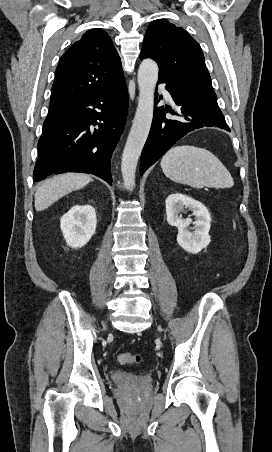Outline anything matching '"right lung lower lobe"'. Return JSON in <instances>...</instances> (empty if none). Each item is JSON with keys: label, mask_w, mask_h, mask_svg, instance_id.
Instances as JSON below:
<instances>
[{"label": "right lung lower lobe", "mask_w": 272, "mask_h": 452, "mask_svg": "<svg viewBox=\"0 0 272 452\" xmlns=\"http://www.w3.org/2000/svg\"><path fill=\"white\" fill-rule=\"evenodd\" d=\"M127 109L123 79L72 107L49 111L38 142L34 182L53 173L84 172L112 185L110 159L124 130Z\"/></svg>", "instance_id": "obj_1"}]
</instances>
